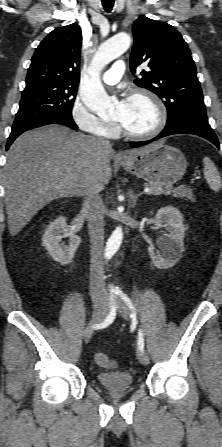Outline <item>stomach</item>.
I'll return each mask as SVG.
<instances>
[{
    "instance_id": "obj_1",
    "label": "stomach",
    "mask_w": 222,
    "mask_h": 447,
    "mask_svg": "<svg viewBox=\"0 0 222 447\" xmlns=\"http://www.w3.org/2000/svg\"><path fill=\"white\" fill-rule=\"evenodd\" d=\"M120 164L126 171L159 186H170L186 172L187 161L175 147L154 143L136 155L125 156Z\"/></svg>"
}]
</instances>
